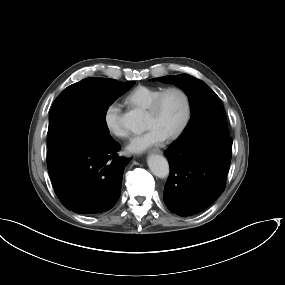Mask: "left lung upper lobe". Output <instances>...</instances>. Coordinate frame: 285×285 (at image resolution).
Wrapping results in <instances>:
<instances>
[{"instance_id":"obj_1","label":"left lung upper lobe","mask_w":285,"mask_h":285,"mask_svg":"<svg viewBox=\"0 0 285 285\" xmlns=\"http://www.w3.org/2000/svg\"><path fill=\"white\" fill-rule=\"evenodd\" d=\"M159 81L172 82L189 97L191 119L184 133L172 144L178 145L206 135L229 137L226 115L219 97L201 80L188 74L159 77Z\"/></svg>"}]
</instances>
